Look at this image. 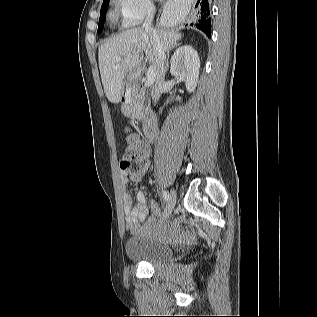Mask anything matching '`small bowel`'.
Wrapping results in <instances>:
<instances>
[{
    "mask_svg": "<svg viewBox=\"0 0 317 317\" xmlns=\"http://www.w3.org/2000/svg\"><path fill=\"white\" fill-rule=\"evenodd\" d=\"M139 146L144 161V170H146L149 165V149L143 142H139ZM121 184L126 227L129 232L132 234L149 232L153 238L164 241H182L194 235L193 227L183 228L178 220L167 221L157 226L156 220L151 218L141 225L140 222L144 221L148 215L146 197L142 191H139L135 203L133 202V198L128 192L129 178L125 171L121 172ZM151 209L154 216L161 214L160 208L155 203H151Z\"/></svg>",
    "mask_w": 317,
    "mask_h": 317,
    "instance_id": "1",
    "label": "small bowel"
}]
</instances>
